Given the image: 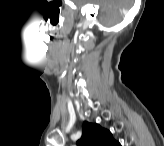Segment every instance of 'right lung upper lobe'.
Here are the masks:
<instances>
[{
  "label": "right lung upper lobe",
  "instance_id": "1",
  "mask_svg": "<svg viewBox=\"0 0 164 146\" xmlns=\"http://www.w3.org/2000/svg\"><path fill=\"white\" fill-rule=\"evenodd\" d=\"M80 146H119L120 144L113 139L110 131L101 128L98 124L85 122L83 134L77 141Z\"/></svg>",
  "mask_w": 164,
  "mask_h": 146
}]
</instances>
